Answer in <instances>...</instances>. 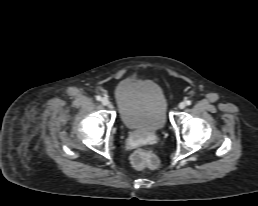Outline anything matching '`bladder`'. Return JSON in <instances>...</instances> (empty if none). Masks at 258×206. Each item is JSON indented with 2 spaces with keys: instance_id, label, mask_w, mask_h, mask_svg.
I'll list each match as a JSON object with an SVG mask.
<instances>
[{
  "instance_id": "obj_1",
  "label": "bladder",
  "mask_w": 258,
  "mask_h": 206,
  "mask_svg": "<svg viewBox=\"0 0 258 206\" xmlns=\"http://www.w3.org/2000/svg\"><path fill=\"white\" fill-rule=\"evenodd\" d=\"M114 98L123 125L132 130L155 132L167 121V102L161 88L148 80H123Z\"/></svg>"
}]
</instances>
